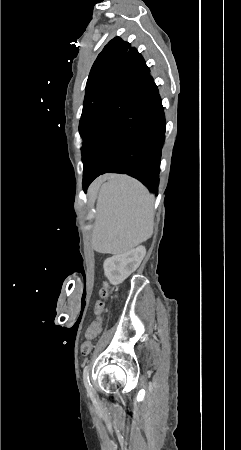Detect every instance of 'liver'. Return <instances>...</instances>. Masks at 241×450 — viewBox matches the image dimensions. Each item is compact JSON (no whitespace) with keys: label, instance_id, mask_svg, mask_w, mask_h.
Masks as SVG:
<instances>
[{"label":"liver","instance_id":"6515ba94","mask_svg":"<svg viewBox=\"0 0 241 450\" xmlns=\"http://www.w3.org/2000/svg\"><path fill=\"white\" fill-rule=\"evenodd\" d=\"M110 178H111V176H108V178H105V180H110ZM98 180H99V178H98ZM96 182H97V180H96Z\"/></svg>","mask_w":241,"mask_h":450}]
</instances>
